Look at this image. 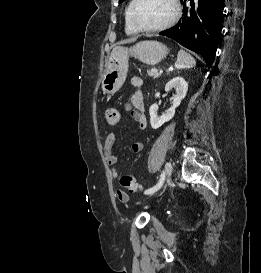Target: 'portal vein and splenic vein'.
Masks as SVG:
<instances>
[{
	"instance_id": "obj_1",
	"label": "portal vein and splenic vein",
	"mask_w": 261,
	"mask_h": 273,
	"mask_svg": "<svg viewBox=\"0 0 261 273\" xmlns=\"http://www.w3.org/2000/svg\"><path fill=\"white\" fill-rule=\"evenodd\" d=\"M159 72H160V73H163V70H160Z\"/></svg>"
}]
</instances>
